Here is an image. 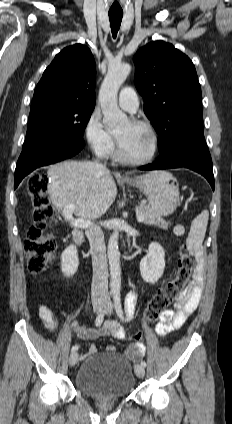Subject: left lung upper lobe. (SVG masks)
Masks as SVG:
<instances>
[{
	"label": "left lung upper lobe",
	"instance_id": "5c2ea615",
	"mask_svg": "<svg viewBox=\"0 0 232 424\" xmlns=\"http://www.w3.org/2000/svg\"><path fill=\"white\" fill-rule=\"evenodd\" d=\"M134 63L136 87L159 136V150L181 131L202 125L201 88L194 64L185 54L159 40L140 48Z\"/></svg>",
	"mask_w": 232,
	"mask_h": 424
}]
</instances>
